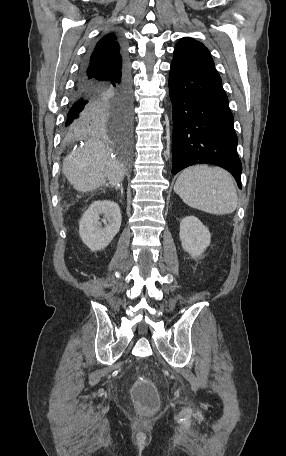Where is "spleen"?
Returning a JSON list of instances; mask_svg holds the SVG:
<instances>
[{
  "label": "spleen",
  "instance_id": "1",
  "mask_svg": "<svg viewBox=\"0 0 286 456\" xmlns=\"http://www.w3.org/2000/svg\"><path fill=\"white\" fill-rule=\"evenodd\" d=\"M174 191L188 206L216 215L236 210V184L230 173L218 167L197 165L179 175Z\"/></svg>",
  "mask_w": 286,
  "mask_h": 456
}]
</instances>
